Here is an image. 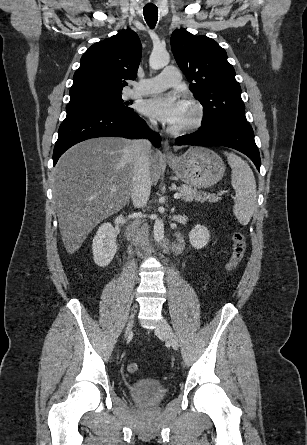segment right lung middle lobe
Returning <instances> with one entry per match:
<instances>
[{"label":"right lung middle lobe","mask_w":307,"mask_h":445,"mask_svg":"<svg viewBox=\"0 0 307 445\" xmlns=\"http://www.w3.org/2000/svg\"><path fill=\"white\" fill-rule=\"evenodd\" d=\"M129 102H124L121 94L117 95H96L70 99L66 106V111L71 112L81 109H112L123 110L134 113L132 108L127 107Z\"/></svg>","instance_id":"dd1d6c3e"}]
</instances>
